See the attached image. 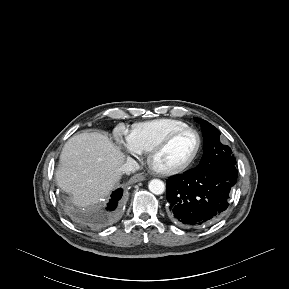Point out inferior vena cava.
<instances>
[{
	"mask_svg": "<svg viewBox=\"0 0 289 289\" xmlns=\"http://www.w3.org/2000/svg\"><path fill=\"white\" fill-rule=\"evenodd\" d=\"M140 168L139 164L132 158H128L123 164L121 171L126 174L134 173Z\"/></svg>",
	"mask_w": 289,
	"mask_h": 289,
	"instance_id": "obj_1",
	"label": "inferior vena cava"
}]
</instances>
